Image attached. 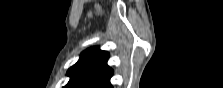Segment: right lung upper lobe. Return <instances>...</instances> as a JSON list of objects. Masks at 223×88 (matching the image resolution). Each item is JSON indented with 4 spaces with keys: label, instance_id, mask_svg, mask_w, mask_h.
Masks as SVG:
<instances>
[{
    "label": "right lung upper lobe",
    "instance_id": "1",
    "mask_svg": "<svg viewBox=\"0 0 223 88\" xmlns=\"http://www.w3.org/2000/svg\"><path fill=\"white\" fill-rule=\"evenodd\" d=\"M109 54L92 47L82 53L78 62L68 70L71 77L65 88H111L112 69L107 66Z\"/></svg>",
    "mask_w": 223,
    "mask_h": 88
}]
</instances>
